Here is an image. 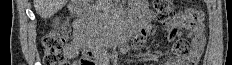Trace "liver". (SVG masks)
I'll return each mask as SVG.
<instances>
[{
  "label": "liver",
  "instance_id": "1",
  "mask_svg": "<svg viewBox=\"0 0 232 65\" xmlns=\"http://www.w3.org/2000/svg\"><path fill=\"white\" fill-rule=\"evenodd\" d=\"M68 0H33L36 13L47 19L61 9Z\"/></svg>",
  "mask_w": 232,
  "mask_h": 65
}]
</instances>
